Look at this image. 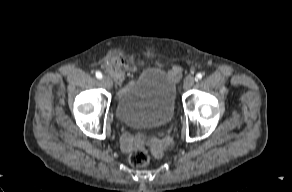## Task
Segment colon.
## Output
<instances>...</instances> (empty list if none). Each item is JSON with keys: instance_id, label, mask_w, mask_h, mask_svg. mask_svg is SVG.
Returning <instances> with one entry per match:
<instances>
[{"instance_id": "colon-1", "label": "colon", "mask_w": 292, "mask_h": 192, "mask_svg": "<svg viewBox=\"0 0 292 192\" xmlns=\"http://www.w3.org/2000/svg\"><path fill=\"white\" fill-rule=\"evenodd\" d=\"M121 73L118 71L116 73V78L118 80H121ZM144 138L146 140H149L150 137L146 136V134L144 133ZM130 163L135 166V167H143L146 166L149 163L150 160V156L148 153V150L146 148H141L138 149L136 151H134L130 157H129Z\"/></svg>"}]
</instances>
